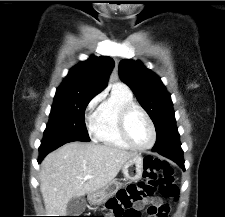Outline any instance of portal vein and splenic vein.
Returning a JSON list of instances; mask_svg holds the SVG:
<instances>
[{"mask_svg":"<svg viewBox=\"0 0 225 217\" xmlns=\"http://www.w3.org/2000/svg\"><path fill=\"white\" fill-rule=\"evenodd\" d=\"M89 178H92V176H91V175H86V176L84 177V179H89Z\"/></svg>","mask_w":225,"mask_h":217,"instance_id":"obj_1","label":"portal vein and splenic vein"}]
</instances>
